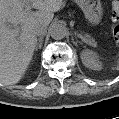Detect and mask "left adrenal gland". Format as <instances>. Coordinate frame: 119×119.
<instances>
[{"mask_svg": "<svg viewBox=\"0 0 119 119\" xmlns=\"http://www.w3.org/2000/svg\"><path fill=\"white\" fill-rule=\"evenodd\" d=\"M73 43L76 45L77 43H82V42L81 41H76V42L73 41Z\"/></svg>", "mask_w": 119, "mask_h": 119, "instance_id": "obj_1", "label": "left adrenal gland"}]
</instances>
